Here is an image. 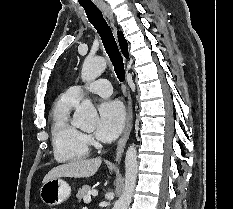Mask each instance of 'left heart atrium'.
<instances>
[{
    "mask_svg": "<svg viewBox=\"0 0 233 209\" xmlns=\"http://www.w3.org/2000/svg\"><path fill=\"white\" fill-rule=\"evenodd\" d=\"M124 122V108L118 101L102 102L98 107L97 138L104 142L114 140L120 134Z\"/></svg>",
    "mask_w": 233,
    "mask_h": 209,
    "instance_id": "39dd6f15",
    "label": "left heart atrium"
}]
</instances>
